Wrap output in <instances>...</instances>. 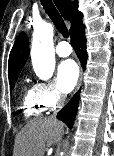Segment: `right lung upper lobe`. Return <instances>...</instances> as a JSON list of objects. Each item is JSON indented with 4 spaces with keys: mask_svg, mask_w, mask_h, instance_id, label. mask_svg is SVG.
<instances>
[{
    "mask_svg": "<svg viewBox=\"0 0 114 156\" xmlns=\"http://www.w3.org/2000/svg\"><path fill=\"white\" fill-rule=\"evenodd\" d=\"M65 20L71 22L70 32L82 23V13L77 10V1L53 0ZM29 56V40L25 33H21L9 56L8 76L19 75Z\"/></svg>",
    "mask_w": 114,
    "mask_h": 156,
    "instance_id": "right-lung-upper-lobe-1",
    "label": "right lung upper lobe"
}]
</instances>
